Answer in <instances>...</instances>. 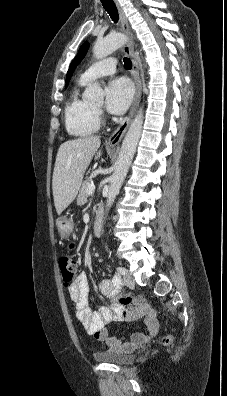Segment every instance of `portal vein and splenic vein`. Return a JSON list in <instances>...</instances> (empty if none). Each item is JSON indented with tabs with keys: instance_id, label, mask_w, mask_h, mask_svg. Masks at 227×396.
Here are the masks:
<instances>
[{
	"instance_id": "1",
	"label": "portal vein and splenic vein",
	"mask_w": 227,
	"mask_h": 396,
	"mask_svg": "<svg viewBox=\"0 0 227 396\" xmlns=\"http://www.w3.org/2000/svg\"><path fill=\"white\" fill-rule=\"evenodd\" d=\"M94 191H95V186H94V185H90V186L87 188V193H88L89 195H90V194H93Z\"/></svg>"
}]
</instances>
